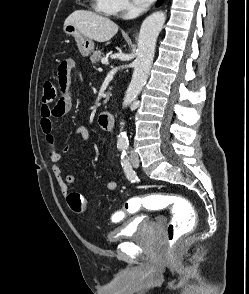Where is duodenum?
<instances>
[{
  "mask_svg": "<svg viewBox=\"0 0 249 294\" xmlns=\"http://www.w3.org/2000/svg\"><path fill=\"white\" fill-rule=\"evenodd\" d=\"M114 117L111 112L105 111L98 116V125L105 131H110L113 128Z\"/></svg>",
  "mask_w": 249,
  "mask_h": 294,
  "instance_id": "duodenum-1",
  "label": "duodenum"
}]
</instances>
